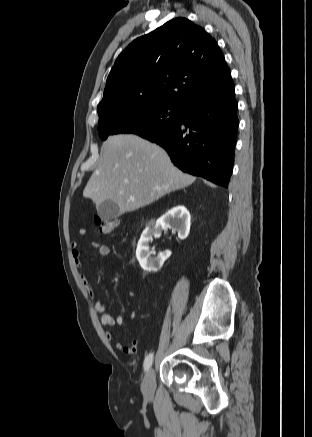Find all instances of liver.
Listing matches in <instances>:
<instances>
[{
  "label": "liver",
  "instance_id": "1",
  "mask_svg": "<svg viewBox=\"0 0 312 437\" xmlns=\"http://www.w3.org/2000/svg\"><path fill=\"white\" fill-rule=\"evenodd\" d=\"M194 180L175 167L158 145L132 134L113 135L102 145L98 166L83 196L96 207L112 200L123 214L147 206Z\"/></svg>",
  "mask_w": 312,
  "mask_h": 437
}]
</instances>
